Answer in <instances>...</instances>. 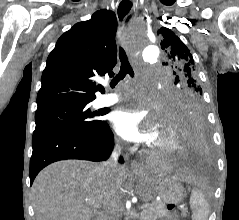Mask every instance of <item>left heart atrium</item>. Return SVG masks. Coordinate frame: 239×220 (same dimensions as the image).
Instances as JSON below:
<instances>
[{"label":"left heart atrium","mask_w":239,"mask_h":220,"mask_svg":"<svg viewBox=\"0 0 239 220\" xmlns=\"http://www.w3.org/2000/svg\"><path fill=\"white\" fill-rule=\"evenodd\" d=\"M135 100V109H122L113 115V126L128 141L150 142L156 130L157 113L145 109L143 98L135 97Z\"/></svg>","instance_id":"left-heart-atrium-1"}]
</instances>
